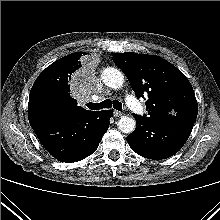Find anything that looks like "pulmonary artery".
<instances>
[{
	"label": "pulmonary artery",
	"mask_w": 220,
	"mask_h": 220,
	"mask_svg": "<svg viewBox=\"0 0 220 220\" xmlns=\"http://www.w3.org/2000/svg\"><path fill=\"white\" fill-rule=\"evenodd\" d=\"M126 103L133 111H135L137 113L142 112L141 105L137 102V100L134 97L128 95L126 97Z\"/></svg>",
	"instance_id": "pulmonary-artery-1"
}]
</instances>
